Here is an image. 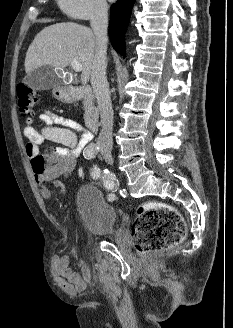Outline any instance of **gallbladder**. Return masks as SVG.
<instances>
[{
	"instance_id": "gallbladder-1",
	"label": "gallbladder",
	"mask_w": 233,
	"mask_h": 328,
	"mask_svg": "<svg viewBox=\"0 0 233 328\" xmlns=\"http://www.w3.org/2000/svg\"><path fill=\"white\" fill-rule=\"evenodd\" d=\"M23 82L34 90H49L61 83L56 74V69L49 65H44L34 69L23 80Z\"/></svg>"
}]
</instances>
